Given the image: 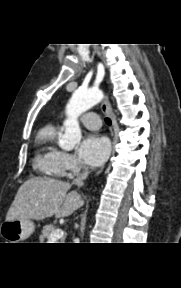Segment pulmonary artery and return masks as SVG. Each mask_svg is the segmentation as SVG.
<instances>
[{
    "mask_svg": "<svg viewBox=\"0 0 181 288\" xmlns=\"http://www.w3.org/2000/svg\"><path fill=\"white\" fill-rule=\"evenodd\" d=\"M82 125L90 130H98L100 128L99 116L94 112L86 113L82 118Z\"/></svg>",
    "mask_w": 181,
    "mask_h": 288,
    "instance_id": "pulmonary-artery-1",
    "label": "pulmonary artery"
}]
</instances>
